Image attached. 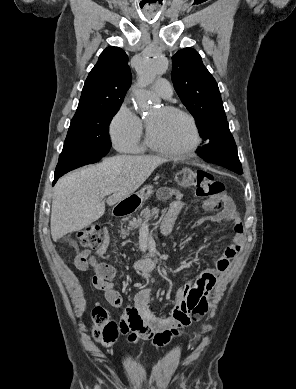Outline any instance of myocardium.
Masks as SVG:
<instances>
[{
	"label": "myocardium",
	"instance_id": "f54148a6",
	"mask_svg": "<svg viewBox=\"0 0 296 389\" xmlns=\"http://www.w3.org/2000/svg\"><path fill=\"white\" fill-rule=\"evenodd\" d=\"M163 109L166 112L178 114V115H181L187 119V121L189 122V124L191 126V130H192V141L190 142V144L188 146H186L185 148H183L181 150H173V149L163 147L154 141L152 134L150 132L149 126H148V124H146L147 145L152 150H154L158 153L167 155L169 157L181 159V158H187V157L191 156L197 150V148L199 147V145L201 143V134H200V130H199L196 119L188 111H186L182 108L176 107V106L167 105V106H164Z\"/></svg>",
	"mask_w": 296,
	"mask_h": 389
}]
</instances>
